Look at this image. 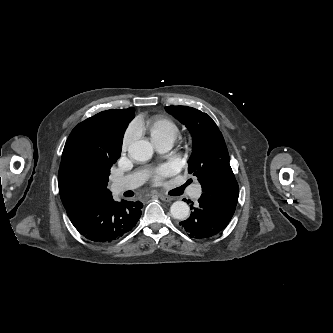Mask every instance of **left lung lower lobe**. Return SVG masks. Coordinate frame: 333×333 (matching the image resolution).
I'll return each mask as SVG.
<instances>
[{"mask_svg":"<svg viewBox=\"0 0 333 333\" xmlns=\"http://www.w3.org/2000/svg\"><path fill=\"white\" fill-rule=\"evenodd\" d=\"M237 198H216L203 193L198 205H191L190 217L180 222L192 238L202 239L219 233L230 222L237 205Z\"/></svg>","mask_w":333,"mask_h":333,"instance_id":"left-lung-lower-lobe-1","label":"left lung lower lobe"}]
</instances>
